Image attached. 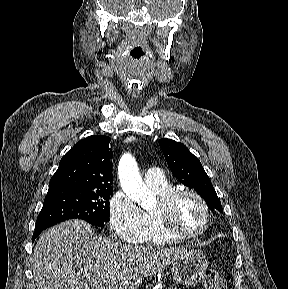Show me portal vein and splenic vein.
<instances>
[{"instance_id":"obj_1","label":"portal vein and splenic vein","mask_w":288,"mask_h":289,"mask_svg":"<svg viewBox=\"0 0 288 289\" xmlns=\"http://www.w3.org/2000/svg\"><path fill=\"white\" fill-rule=\"evenodd\" d=\"M85 276L93 289H100L101 286L97 283V280L93 276H90L89 274H85Z\"/></svg>"}]
</instances>
